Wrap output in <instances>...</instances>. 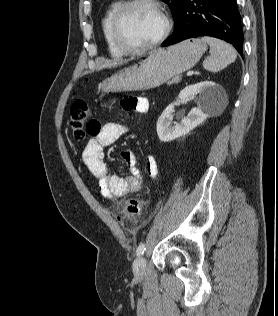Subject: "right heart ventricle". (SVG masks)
<instances>
[{
	"instance_id": "obj_1",
	"label": "right heart ventricle",
	"mask_w": 278,
	"mask_h": 316,
	"mask_svg": "<svg viewBox=\"0 0 278 316\" xmlns=\"http://www.w3.org/2000/svg\"><path fill=\"white\" fill-rule=\"evenodd\" d=\"M123 4L122 0H111L107 5L102 18H101V31L107 46V49L110 55L114 58H121L126 53L122 51L114 41L112 34V19L114 14L119 9V7Z\"/></svg>"
}]
</instances>
